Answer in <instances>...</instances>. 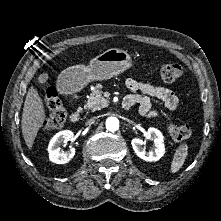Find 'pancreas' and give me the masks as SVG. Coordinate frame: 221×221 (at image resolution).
<instances>
[{"mask_svg": "<svg viewBox=\"0 0 221 221\" xmlns=\"http://www.w3.org/2000/svg\"><path fill=\"white\" fill-rule=\"evenodd\" d=\"M101 88V84H96L93 87V90L90 93L87 103L85 105L86 109L96 111L108 106V101L103 97V91L101 90Z\"/></svg>", "mask_w": 221, "mask_h": 221, "instance_id": "1", "label": "pancreas"}]
</instances>
